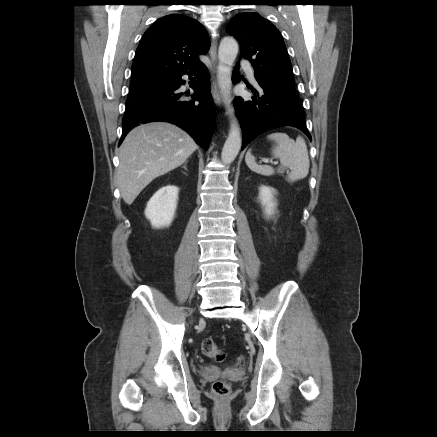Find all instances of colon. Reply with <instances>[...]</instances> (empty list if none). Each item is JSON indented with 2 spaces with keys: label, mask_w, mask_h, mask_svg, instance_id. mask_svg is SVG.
Returning <instances> with one entry per match:
<instances>
[{
  "label": "colon",
  "mask_w": 437,
  "mask_h": 437,
  "mask_svg": "<svg viewBox=\"0 0 437 437\" xmlns=\"http://www.w3.org/2000/svg\"><path fill=\"white\" fill-rule=\"evenodd\" d=\"M202 352L207 358L217 363L222 362L225 358L224 352L210 338L203 341ZM212 388L214 394L220 398H224L230 393V386L223 379L215 381Z\"/></svg>",
  "instance_id": "colon-1"
}]
</instances>
